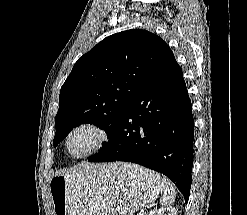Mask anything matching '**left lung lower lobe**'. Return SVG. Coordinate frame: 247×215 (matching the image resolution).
<instances>
[{
    "instance_id": "left-lung-lower-lobe-1",
    "label": "left lung lower lobe",
    "mask_w": 247,
    "mask_h": 215,
    "mask_svg": "<svg viewBox=\"0 0 247 215\" xmlns=\"http://www.w3.org/2000/svg\"><path fill=\"white\" fill-rule=\"evenodd\" d=\"M89 162L126 161L165 174L188 202L194 122L182 70L169 49Z\"/></svg>"
}]
</instances>
